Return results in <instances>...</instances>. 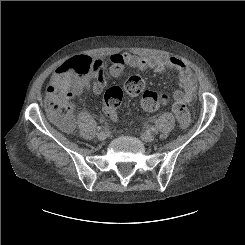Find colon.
<instances>
[{
  "instance_id": "1",
  "label": "colon",
  "mask_w": 245,
  "mask_h": 245,
  "mask_svg": "<svg viewBox=\"0 0 245 245\" xmlns=\"http://www.w3.org/2000/svg\"><path fill=\"white\" fill-rule=\"evenodd\" d=\"M63 70L74 80L91 77L103 78L102 64L85 55H76L70 58L65 63ZM144 88V79L139 75H134L126 80L123 88L111 87L107 89L104 95V110L107 117L116 118L117 110L125 94L135 97L142 93ZM45 102L52 122L64 131H69L74 127L71 97L68 92L62 90L58 83L53 84L52 89L46 92ZM168 103L171 104L181 129L187 128L190 123V112L182 97L156 91H145L141 100L142 107L146 111H154Z\"/></svg>"
}]
</instances>
